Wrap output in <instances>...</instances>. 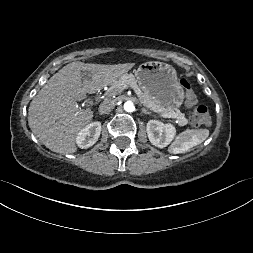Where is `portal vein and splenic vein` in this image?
Returning <instances> with one entry per match:
<instances>
[{
	"instance_id": "18ae733b",
	"label": "portal vein and splenic vein",
	"mask_w": 253,
	"mask_h": 253,
	"mask_svg": "<svg viewBox=\"0 0 253 253\" xmlns=\"http://www.w3.org/2000/svg\"><path fill=\"white\" fill-rule=\"evenodd\" d=\"M127 86L123 85V88L125 89ZM160 116L164 117V118H176V115L174 114H161Z\"/></svg>"
}]
</instances>
